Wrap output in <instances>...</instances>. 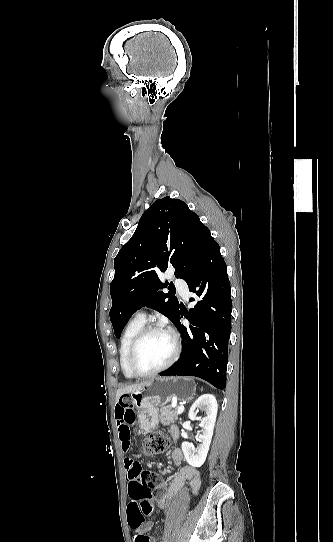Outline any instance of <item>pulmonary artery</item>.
Masks as SVG:
<instances>
[{
    "instance_id": "obj_1",
    "label": "pulmonary artery",
    "mask_w": 333,
    "mask_h": 542,
    "mask_svg": "<svg viewBox=\"0 0 333 542\" xmlns=\"http://www.w3.org/2000/svg\"><path fill=\"white\" fill-rule=\"evenodd\" d=\"M177 281L180 279L178 276L175 278ZM176 289L180 292L181 296H188L189 295V288L187 287V284L184 281H179L176 284ZM134 318L140 321H146L147 320V314L143 311H138L135 313Z\"/></svg>"
}]
</instances>
